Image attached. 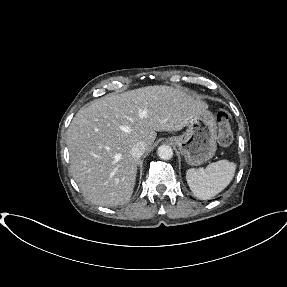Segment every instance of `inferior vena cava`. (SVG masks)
<instances>
[{
  "mask_svg": "<svg viewBox=\"0 0 287 287\" xmlns=\"http://www.w3.org/2000/svg\"><path fill=\"white\" fill-rule=\"evenodd\" d=\"M130 152L134 158L139 159L145 153V144L143 142L136 143Z\"/></svg>",
  "mask_w": 287,
  "mask_h": 287,
  "instance_id": "inferior-vena-cava-1",
  "label": "inferior vena cava"
}]
</instances>
